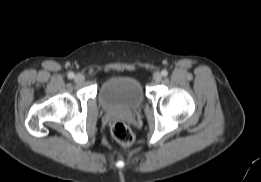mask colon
I'll return each mask as SVG.
<instances>
[{"mask_svg":"<svg viewBox=\"0 0 261 182\" xmlns=\"http://www.w3.org/2000/svg\"><path fill=\"white\" fill-rule=\"evenodd\" d=\"M114 139L122 145L130 146L134 142V135L130 128L122 123L116 122L111 128Z\"/></svg>","mask_w":261,"mask_h":182,"instance_id":"obj_1","label":"colon"}]
</instances>
